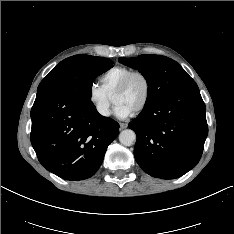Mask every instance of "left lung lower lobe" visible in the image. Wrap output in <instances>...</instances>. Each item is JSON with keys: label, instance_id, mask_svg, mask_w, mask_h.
Listing matches in <instances>:
<instances>
[{"label": "left lung lower lobe", "instance_id": "obj_1", "mask_svg": "<svg viewBox=\"0 0 234 234\" xmlns=\"http://www.w3.org/2000/svg\"><path fill=\"white\" fill-rule=\"evenodd\" d=\"M134 156L149 175L181 177L199 162L208 134L206 107L195 82L169 94L129 123Z\"/></svg>", "mask_w": 234, "mask_h": 234}]
</instances>
